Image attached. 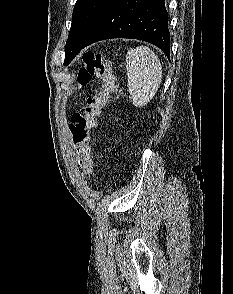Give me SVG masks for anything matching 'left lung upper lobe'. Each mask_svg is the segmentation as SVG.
Returning <instances> with one entry per match:
<instances>
[{
    "instance_id": "left-lung-upper-lobe-1",
    "label": "left lung upper lobe",
    "mask_w": 233,
    "mask_h": 294,
    "mask_svg": "<svg viewBox=\"0 0 233 294\" xmlns=\"http://www.w3.org/2000/svg\"><path fill=\"white\" fill-rule=\"evenodd\" d=\"M111 0H77L65 46L64 65L81 51L84 41Z\"/></svg>"
}]
</instances>
